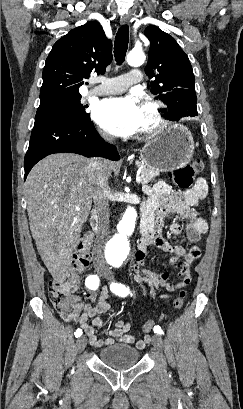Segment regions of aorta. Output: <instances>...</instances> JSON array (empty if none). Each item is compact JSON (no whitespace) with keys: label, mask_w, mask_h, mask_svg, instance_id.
<instances>
[{"label":"aorta","mask_w":243,"mask_h":409,"mask_svg":"<svg viewBox=\"0 0 243 409\" xmlns=\"http://www.w3.org/2000/svg\"><path fill=\"white\" fill-rule=\"evenodd\" d=\"M145 61V55L141 51H131L127 56L129 65L138 67ZM137 212L134 207L128 206L118 224L117 233L109 241V249L112 254L125 257L129 253L128 237L132 235L136 225Z\"/></svg>","instance_id":"obj_1"}]
</instances>
